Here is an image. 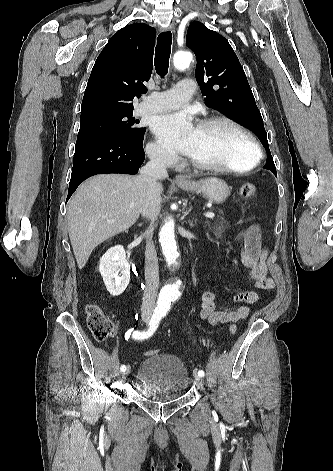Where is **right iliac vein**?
Masks as SVG:
<instances>
[{
	"instance_id": "obj_1",
	"label": "right iliac vein",
	"mask_w": 333,
	"mask_h": 471,
	"mask_svg": "<svg viewBox=\"0 0 333 471\" xmlns=\"http://www.w3.org/2000/svg\"><path fill=\"white\" fill-rule=\"evenodd\" d=\"M149 319H150L149 316H143V317H142V320H143L144 322H148ZM130 371H131V368L128 366V367L126 368V370L123 372L122 377L125 379V378L130 374Z\"/></svg>"
}]
</instances>
